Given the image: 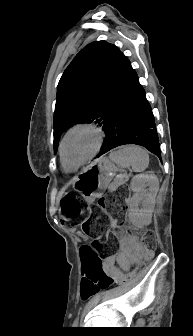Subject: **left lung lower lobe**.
I'll use <instances>...</instances> for the list:
<instances>
[{"label": "left lung lower lobe", "instance_id": "1", "mask_svg": "<svg viewBox=\"0 0 193 336\" xmlns=\"http://www.w3.org/2000/svg\"><path fill=\"white\" fill-rule=\"evenodd\" d=\"M102 127L106 139L97 157L118 146L136 144L145 147L161 160L154 116L130 62Z\"/></svg>", "mask_w": 193, "mask_h": 336}]
</instances>
